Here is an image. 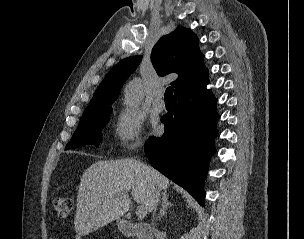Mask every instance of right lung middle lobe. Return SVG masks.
I'll return each mask as SVG.
<instances>
[{
	"label": "right lung middle lobe",
	"mask_w": 304,
	"mask_h": 239,
	"mask_svg": "<svg viewBox=\"0 0 304 239\" xmlns=\"http://www.w3.org/2000/svg\"><path fill=\"white\" fill-rule=\"evenodd\" d=\"M111 110V106H106L100 110L82 116V120L77 130L65 149L68 150L87 144L97 146L100 142L99 133L108 122Z\"/></svg>",
	"instance_id": "1"
}]
</instances>
